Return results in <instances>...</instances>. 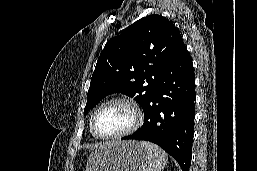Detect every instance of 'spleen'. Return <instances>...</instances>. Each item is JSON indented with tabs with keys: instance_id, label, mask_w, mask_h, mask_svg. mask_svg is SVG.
I'll return each mask as SVG.
<instances>
[{
	"instance_id": "spleen-1",
	"label": "spleen",
	"mask_w": 257,
	"mask_h": 171,
	"mask_svg": "<svg viewBox=\"0 0 257 171\" xmlns=\"http://www.w3.org/2000/svg\"><path fill=\"white\" fill-rule=\"evenodd\" d=\"M140 144L147 152L148 165L146 171H161L167 163V154L153 143L142 141Z\"/></svg>"
}]
</instances>
